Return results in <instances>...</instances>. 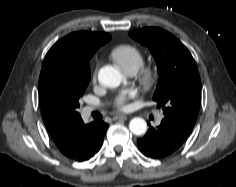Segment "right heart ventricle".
Here are the masks:
<instances>
[{
  "label": "right heart ventricle",
  "mask_w": 236,
  "mask_h": 187,
  "mask_svg": "<svg viewBox=\"0 0 236 187\" xmlns=\"http://www.w3.org/2000/svg\"><path fill=\"white\" fill-rule=\"evenodd\" d=\"M111 59L127 74H135L144 63L142 52L134 45H117L110 51Z\"/></svg>",
  "instance_id": "1"
}]
</instances>
